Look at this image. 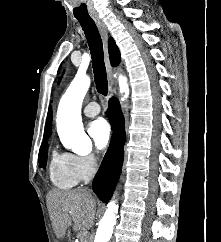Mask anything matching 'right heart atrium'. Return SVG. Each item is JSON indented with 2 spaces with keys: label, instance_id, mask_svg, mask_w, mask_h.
<instances>
[{
  "label": "right heart atrium",
  "instance_id": "1",
  "mask_svg": "<svg viewBox=\"0 0 221 242\" xmlns=\"http://www.w3.org/2000/svg\"><path fill=\"white\" fill-rule=\"evenodd\" d=\"M70 155L72 166L78 180H84L97 171L99 159L95 153Z\"/></svg>",
  "mask_w": 221,
  "mask_h": 242
}]
</instances>
